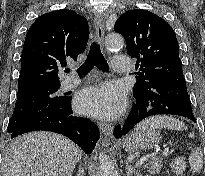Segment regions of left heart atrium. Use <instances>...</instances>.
<instances>
[{
    "label": "left heart atrium",
    "mask_w": 205,
    "mask_h": 176,
    "mask_svg": "<svg viewBox=\"0 0 205 176\" xmlns=\"http://www.w3.org/2000/svg\"><path fill=\"white\" fill-rule=\"evenodd\" d=\"M75 105L85 114L112 118L124 108L125 94L116 85L103 84L81 91L76 98Z\"/></svg>",
    "instance_id": "obj_1"
}]
</instances>
